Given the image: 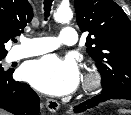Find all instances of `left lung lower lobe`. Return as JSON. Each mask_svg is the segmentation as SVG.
I'll return each mask as SVG.
<instances>
[{
  "mask_svg": "<svg viewBox=\"0 0 131 115\" xmlns=\"http://www.w3.org/2000/svg\"><path fill=\"white\" fill-rule=\"evenodd\" d=\"M110 99H127L131 100L130 93H104L102 92L100 95H97L91 99L86 100L85 102L79 104L78 106L74 107L75 113L83 112L87 109L93 108L98 104L110 100Z\"/></svg>",
  "mask_w": 131,
  "mask_h": 115,
  "instance_id": "1",
  "label": "left lung lower lobe"
}]
</instances>
